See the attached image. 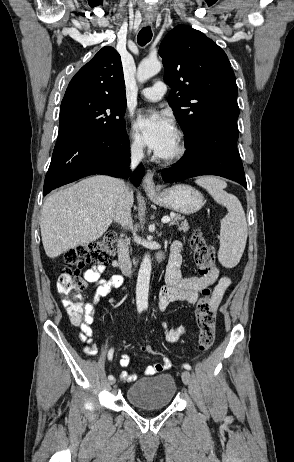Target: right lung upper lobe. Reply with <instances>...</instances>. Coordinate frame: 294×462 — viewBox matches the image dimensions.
Segmentation results:
<instances>
[{"label":"right lung upper lobe","instance_id":"1","mask_svg":"<svg viewBox=\"0 0 294 462\" xmlns=\"http://www.w3.org/2000/svg\"><path fill=\"white\" fill-rule=\"evenodd\" d=\"M80 96L126 99L121 58L113 47H103L75 74L63 100Z\"/></svg>","mask_w":294,"mask_h":462}]
</instances>
